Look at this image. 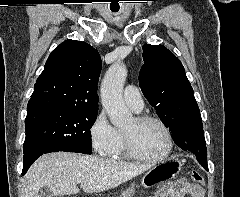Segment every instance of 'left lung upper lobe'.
<instances>
[{"instance_id":"left-lung-upper-lobe-1","label":"left lung upper lobe","mask_w":240,"mask_h":197,"mask_svg":"<svg viewBox=\"0 0 240 197\" xmlns=\"http://www.w3.org/2000/svg\"><path fill=\"white\" fill-rule=\"evenodd\" d=\"M143 60L139 75L141 90L173 137L180 129L192 125H198L203 131L200 111L181 61L163 45L150 44L143 45ZM202 137L183 149L196 158H207L205 137Z\"/></svg>"}]
</instances>
